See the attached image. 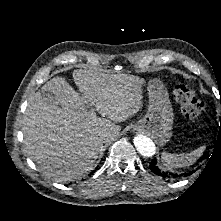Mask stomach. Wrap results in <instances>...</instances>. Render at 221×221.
Returning <instances> with one entry per match:
<instances>
[{
    "label": "stomach",
    "instance_id": "obj_1",
    "mask_svg": "<svg viewBox=\"0 0 221 221\" xmlns=\"http://www.w3.org/2000/svg\"><path fill=\"white\" fill-rule=\"evenodd\" d=\"M149 105L147 114L137 122L138 132L150 134L160 145L169 141L172 135L173 110L168 92L158 79L148 84Z\"/></svg>",
    "mask_w": 221,
    "mask_h": 221
}]
</instances>
